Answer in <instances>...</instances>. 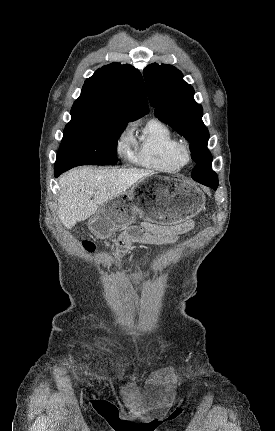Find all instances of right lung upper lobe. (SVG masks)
<instances>
[{
    "instance_id": "right-lung-upper-lobe-1",
    "label": "right lung upper lobe",
    "mask_w": 275,
    "mask_h": 431,
    "mask_svg": "<svg viewBox=\"0 0 275 431\" xmlns=\"http://www.w3.org/2000/svg\"><path fill=\"white\" fill-rule=\"evenodd\" d=\"M149 112L145 84L133 66L111 63L88 78L71 109L72 118L114 117L134 121Z\"/></svg>"
}]
</instances>
